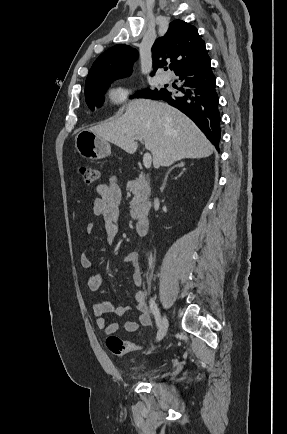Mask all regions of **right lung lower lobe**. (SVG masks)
Wrapping results in <instances>:
<instances>
[{
  "instance_id": "obj_1",
  "label": "right lung lower lobe",
  "mask_w": 287,
  "mask_h": 434,
  "mask_svg": "<svg viewBox=\"0 0 287 434\" xmlns=\"http://www.w3.org/2000/svg\"><path fill=\"white\" fill-rule=\"evenodd\" d=\"M183 86L177 91L161 89L147 98L164 100L192 119L213 145L219 150L221 137L216 78L211 69L207 51L191 64L176 73Z\"/></svg>"
}]
</instances>
